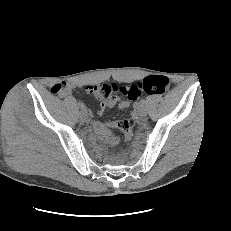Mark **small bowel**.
Returning <instances> with one entry per match:
<instances>
[{"instance_id": "1", "label": "small bowel", "mask_w": 231, "mask_h": 231, "mask_svg": "<svg viewBox=\"0 0 231 231\" xmlns=\"http://www.w3.org/2000/svg\"><path fill=\"white\" fill-rule=\"evenodd\" d=\"M106 85V84H104ZM104 85H88L85 87V90L88 93L94 94L96 96H99L103 99L100 108L98 110V114L101 115L104 110L108 107H113L117 104L119 109H126L130 106V103L128 100H120L116 98H112L110 96L104 97L102 92V87ZM74 86L72 84H67L66 89L63 92V94H69L73 91ZM133 117L136 118V113H132ZM93 127L97 133V135L100 137L101 140L104 142L110 144V145H116L118 143V138L112 133L111 129L114 127H117V124L114 122L109 123H102L99 121L93 122Z\"/></svg>"}]
</instances>
